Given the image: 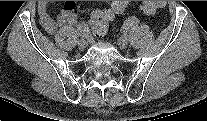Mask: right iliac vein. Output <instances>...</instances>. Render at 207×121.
<instances>
[{
	"label": "right iliac vein",
	"instance_id": "obj_1",
	"mask_svg": "<svg viewBox=\"0 0 207 121\" xmlns=\"http://www.w3.org/2000/svg\"><path fill=\"white\" fill-rule=\"evenodd\" d=\"M88 43L85 39H81L79 42H78V48L80 50H84L86 47H87Z\"/></svg>",
	"mask_w": 207,
	"mask_h": 121
}]
</instances>
